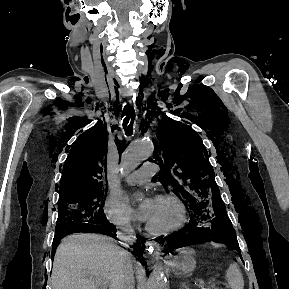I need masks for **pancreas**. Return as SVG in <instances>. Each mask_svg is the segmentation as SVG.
<instances>
[{
	"label": "pancreas",
	"mask_w": 289,
	"mask_h": 289,
	"mask_svg": "<svg viewBox=\"0 0 289 289\" xmlns=\"http://www.w3.org/2000/svg\"><path fill=\"white\" fill-rule=\"evenodd\" d=\"M205 289H219L216 285L211 284L205 287Z\"/></svg>",
	"instance_id": "pancreas-1"
}]
</instances>
